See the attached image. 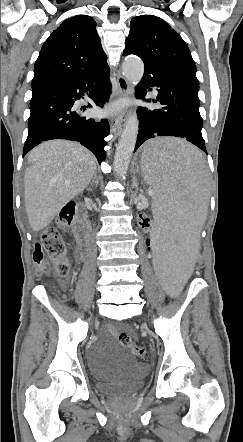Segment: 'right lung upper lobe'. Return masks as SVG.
I'll list each match as a JSON object with an SVG mask.
<instances>
[{
	"label": "right lung upper lobe",
	"mask_w": 243,
	"mask_h": 442,
	"mask_svg": "<svg viewBox=\"0 0 243 442\" xmlns=\"http://www.w3.org/2000/svg\"><path fill=\"white\" fill-rule=\"evenodd\" d=\"M96 23L77 15L52 32L35 62L32 84L59 77L83 76L107 67Z\"/></svg>",
	"instance_id": "right-lung-upper-lobe-1"
}]
</instances>
